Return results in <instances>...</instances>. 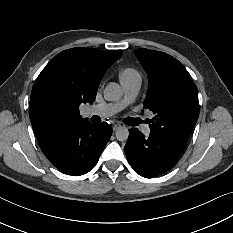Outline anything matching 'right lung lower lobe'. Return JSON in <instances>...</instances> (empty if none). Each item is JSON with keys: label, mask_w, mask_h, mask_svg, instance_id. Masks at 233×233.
I'll list each match as a JSON object with an SVG mask.
<instances>
[{"label": "right lung lower lobe", "mask_w": 233, "mask_h": 233, "mask_svg": "<svg viewBox=\"0 0 233 233\" xmlns=\"http://www.w3.org/2000/svg\"><path fill=\"white\" fill-rule=\"evenodd\" d=\"M111 134L112 127L106 122L99 125L79 122L39 137L38 141L44 155L57 169L79 176L97 164Z\"/></svg>", "instance_id": "98d812e1"}]
</instances>
